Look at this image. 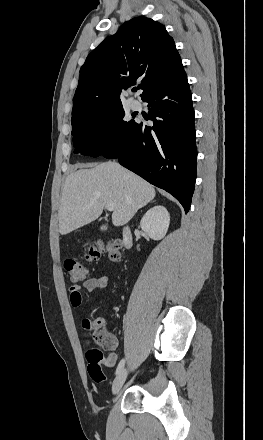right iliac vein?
Returning a JSON list of instances; mask_svg holds the SVG:
<instances>
[{
	"instance_id": "obj_1",
	"label": "right iliac vein",
	"mask_w": 263,
	"mask_h": 440,
	"mask_svg": "<svg viewBox=\"0 0 263 440\" xmlns=\"http://www.w3.org/2000/svg\"><path fill=\"white\" fill-rule=\"evenodd\" d=\"M128 370L126 368L122 369L116 378L113 381L112 384V394L116 395L121 390L126 378H127Z\"/></svg>"
}]
</instances>
